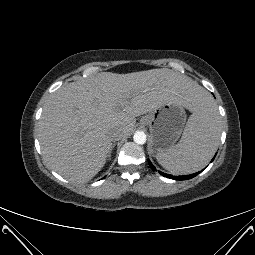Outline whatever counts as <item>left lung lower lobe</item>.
<instances>
[{
	"instance_id": "left-lung-lower-lobe-1",
	"label": "left lung lower lobe",
	"mask_w": 255,
	"mask_h": 255,
	"mask_svg": "<svg viewBox=\"0 0 255 255\" xmlns=\"http://www.w3.org/2000/svg\"><path fill=\"white\" fill-rule=\"evenodd\" d=\"M214 159V158H213ZM212 159V160H213ZM149 165H150V167H151V169L153 170V171H155L156 169H155V167L153 166V164L149 161ZM201 172V171H200ZM159 173L161 174V175H163L164 177H167V178H172V179H174V180H187V179H191V178H193V177H195L198 173H194V174H191V175H185V176H172V175H169V174H165V173H163V172H160L159 171Z\"/></svg>"
}]
</instances>
